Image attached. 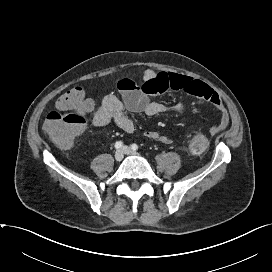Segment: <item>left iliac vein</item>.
Masks as SVG:
<instances>
[{
	"instance_id": "4c4485c4",
	"label": "left iliac vein",
	"mask_w": 272,
	"mask_h": 272,
	"mask_svg": "<svg viewBox=\"0 0 272 272\" xmlns=\"http://www.w3.org/2000/svg\"><path fill=\"white\" fill-rule=\"evenodd\" d=\"M123 153L126 155H138V153L134 150H132L130 147L128 146H124L122 149Z\"/></svg>"
}]
</instances>
